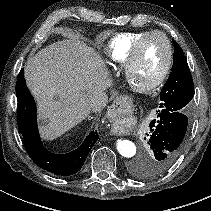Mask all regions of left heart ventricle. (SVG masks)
Returning a JSON list of instances; mask_svg holds the SVG:
<instances>
[{"label": "left heart ventricle", "instance_id": "b2bd125f", "mask_svg": "<svg viewBox=\"0 0 211 211\" xmlns=\"http://www.w3.org/2000/svg\"><path fill=\"white\" fill-rule=\"evenodd\" d=\"M167 60V46L160 36H151L143 44L139 59L131 74L136 86L151 84L162 71Z\"/></svg>", "mask_w": 211, "mask_h": 211}]
</instances>
